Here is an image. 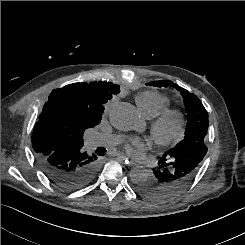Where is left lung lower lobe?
<instances>
[{"label":"left lung lower lobe","instance_id":"left-lung-lower-lobe-1","mask_svg":"<svg viewBox=\"0 0 245 245\" xmlns=\"http://www.w3.org/2000/svg\"><path fill=\"white\" fill-rule=\"evenodd\" d=\"M206 153L204 143H194L163 156L154 176L140 183L138 191L159 202L175 197L192 181Z\"/></svg>","mask_w":245,"mask_h":245}]
</instances>
